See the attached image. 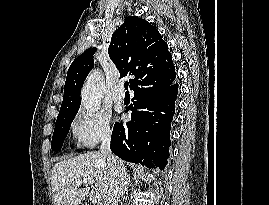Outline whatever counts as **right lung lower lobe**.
I'll list each match as a JSON object with an SVG mask.
<instances>
[{
	"instance_id": "obj_1",
	"label": "right lung lower lobe",
	"mask_w": 269,
	"mask_h": 205,
	"mask_svg": "<svg viewBox=\"0 0 269 205\" xmlns=\"http://www.w3.org/2000/svg\"><path fill=\"white\" fill-rule=\"evenodd\" d=\"M134 93L131 121L115 123L111 150L125 161L164 169L170 156V125L178 84L171 81Z\"/></svg>"
}]
</instances>
